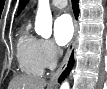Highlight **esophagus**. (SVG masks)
Segmentation results:
<instances>
[{
	"instance_id": "34e87169",
	"label": "esophagus",
	"mask_w": 107,
	"mask_h": 89,
	"mask_svg": "<svg viewBox=\"0 0 107 89\" xmlns=\"http://www.w3.org/2000/svg\"><path fill=\"white\" fill-rule=\"evenodd\" d=\"M77 31H78V26H77V23L75 22L73 39L69 44L68 50L66 52V55H65L61 65H60V67L57 69V71L50 78V82L49 83L52 84V85L57 83L58 77L60 76V74L65 70V68L68 65L71 53H72V51L74 49V46L76 44V41H77Z\"/></svg>"
}]
</instances>
